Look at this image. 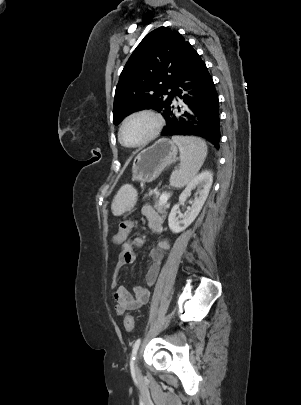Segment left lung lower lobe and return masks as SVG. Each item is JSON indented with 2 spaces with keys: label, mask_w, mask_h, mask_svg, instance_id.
Listing matches in <instances>:
<instances>
[{
  "label": "left lung lower lobe",
  "mask_w": 301,
  "mask_h": 405,
  "mask_svg": "<svg viewBox=\"0 0 301 405\" xmlns=\"http://www.w3.org/2000/svg\"><path fill=\"white\" fill-rule=\"evenodd\" d=\"M175 95L183 100L184 105L178 106V114L171 105L165 116L167 124L161 135L199 136L218 149L220 143L218 95L212 77L196 51L177 85Z\"/></svg>",
  "instance_id": "1"
}]
</instances>
